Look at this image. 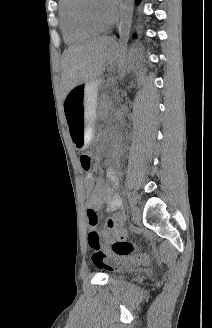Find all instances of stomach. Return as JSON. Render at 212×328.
Here are the masks:
<instances>
[{
	"mask_svg": "<svg viewBox=\"0 0 212 328\" xmlns=\"http://www.w3.org/2000/svg\"><path fill=\"white\" fill-rule=\"evenodd\" d=\"M99 81H89L73 87L65 97L66 124L74 146L86 149L93 137V123L97 107Z\"/></svg>",
	"mask_w": 212,
	"mask_h": 328,
	"instance_id": "obj_1",
	"label": "stomach"
}]
</instances>
